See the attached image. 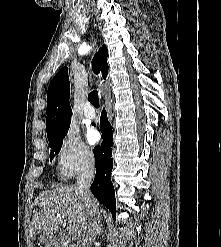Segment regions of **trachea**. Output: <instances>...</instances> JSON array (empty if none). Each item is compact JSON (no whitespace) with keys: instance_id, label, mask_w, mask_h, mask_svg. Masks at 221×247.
I'll return each instance as SVG.
<instances>
[{"instance_id":"trachea-1","label":"trachea","mask_w":221,"mask_h":247,"mask_svg":"<svg viewBox=\"0 0 221 247\" xmlns=\"http://www.w3.org/2000/svg\"><path fill=\"white\" fill-rule=\"evenodd\" d=\"M89 102L95 107L99 108V98H98V92L96 90H93L88 95Z\"/></svg>"}]
</instances>
